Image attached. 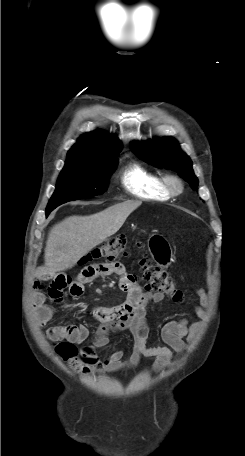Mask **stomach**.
<instances>
[{
    "label": "stomach",
    "mask_w": 245,
    "mask_h": 456,
    "mask_svg": "<svg viewBox=\"0 0 245 456\" xmlns=\"http://www.w3.org/2000/svg\"><path fill=\"white\" fill-rule=\"evenodd\" d=\"M149 251L153 259L161 266L166 267L172 261L170 245L161 235L153 236L149 242Z\"/></svg>",
    "instance_id": "obj_1"
}]
</instances>
